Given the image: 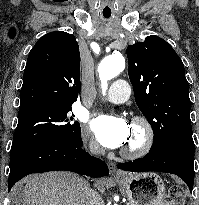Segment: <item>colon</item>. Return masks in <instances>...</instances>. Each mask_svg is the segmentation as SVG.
Returning a JSON list of instances; mask_svg holds the SVG:
<instances>
[{
  "label": "colon",
  "mask_w": 199,
  "mask_h": 205,
  "mask_svg": "<svg viewBox=\"0 0 199 205\" xmlns=\"http://www.w3.org/2000/svg\"><path fill=\"white\" fill-rule=\"evenodd\" d=\"M182 204H183L182 189L177 186L171 187L168 194L165 197L164 205H182Z\"/></svg>",
  "instance_id": "obj_1"
}]
</instances>
